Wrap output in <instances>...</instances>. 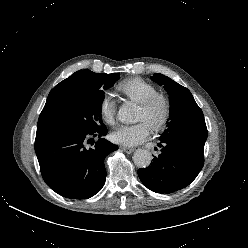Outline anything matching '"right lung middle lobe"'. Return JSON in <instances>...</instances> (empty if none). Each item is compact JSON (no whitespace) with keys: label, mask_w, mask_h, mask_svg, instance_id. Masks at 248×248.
Masks as SVG:
<instances>
[{"label":"right lung middle lobe","mask_w":248,"mask_h":248,"mask_svg":"<svg viewBox=\"0 0 248 248\" xmlns=\"http://www.w3.org/2000/svg\"><path fill=\"white\" fill-rule=\"evenodd\" d=\"M86 83L81 92L60 103L44 106L37 129L98 131L105 127L101 117L104 90L120 78L118 73H94L84 70Z\"/></svg>","instance_id":"dd1d6c3e"}]
</instances>
